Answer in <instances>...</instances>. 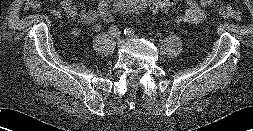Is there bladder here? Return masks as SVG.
<instances>
[{
	"label": "bladder",
	"instance_id": "1",
	"mask_svg": "<svg viewBox=\"0 0 253 131\" xmlns=\"http://www.w3.org/2000/svg\"><path fill=\"white\" fill-rule=\"evenodd\" d=\"M114 4L113 12L116 14L133 13L141 5L137 0H118Z\"/></svg>",
	"mask_w": 253,
	"mask_h": 131
}]
</instances>
